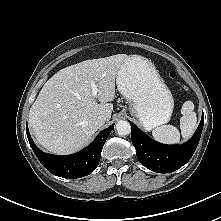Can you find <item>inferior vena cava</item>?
<instances>
[{"instance_id": "obj_1", "label": "inferior vena cava", "mask_w": 221, "mask_h": 221, "mask_svg": "<svg viewBox=\"0 0 221 221\" xmlns=\"http://www.w3.org/2000/svg\"><path fill=\"white\" fill-rule=\"evenodd\" d=\"M105 120H106V117L104 115H99L97 117V122L100 123V124H104Z\"/></svg>"}]
</instances>
